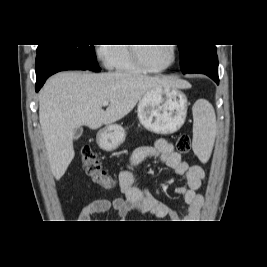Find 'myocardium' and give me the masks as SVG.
<instances>
[{
    "label": "myocardium",
    "mask_w": 267,
    "mask_h": 267,
    "mask_svg": "<svg viewBox=\"0 0 267 267\" xmlns=\"http://www.w3.org/2000/svg\"><path fill=\"white\" fill-rule=\"evenodd\" d=\"M137 45L138 44H131V46H130L131 57H132L133 61L135 62V64L137 66H139L141 69H143L144 71L151 72V73L163 72V71L171 68L176 62V59H177V48L176 47L177 46H175L174 44H170L171 49H172L171 61L167 65L160 67V68H154V67L148 66L144 62V60L142 59V56H141V53L139 50L140 46H137Z\"/></svg>",
    "instance_id": "myocardium-1"
}]
</instances>
